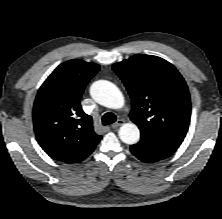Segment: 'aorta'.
<instances>
[{"label": "aorta", "instance_id": "762f6f07", "mask_svg": "<svg viewBox=\"0 0 222 219\" xmlns=\"http://www.w3.org/2000/svg\"><path fill=\"white\" fill-rule=\"evenodd\" d=\"M90 94L96 102L111 109H119L124 105V97L119 88L107 80L94 82ZM119 137L126 144H135L140 138L139 128L133 123L123 124L119 129Z\"/></svg>", "mask_w": 222, "mask_h": 219}]
</instances>
